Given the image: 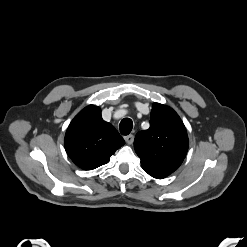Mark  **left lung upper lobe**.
<instances>
[{
    "mask_svg": "<svg viewBox=\"0 0 247 247\" xmlns=\"http://www.w3.org/2000/svg\"><path fill=\"white\" fill-rule=\"evenodd\" d=\"M183 122L170 107L154 103L150 128L137 133L134 148L142 168L152 177L163 179L182 164L188 150Z\"/></svg>",
    "mask_w": 247,
    "mask_h": 247,
    "instance_id": "left-lung-upper-lobe-1",
    "label": "left lung upper lobe"
}]
</instances>
